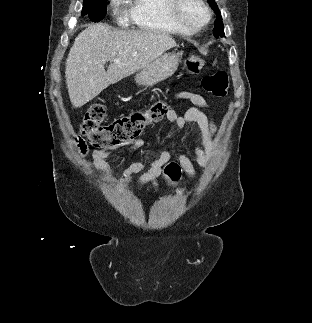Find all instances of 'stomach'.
<instances>
[{
  "label": "stomach",
  "instance_id": "0dacf381",
  "mask_svg": "<svg viewBox=\"0 0 312 323\" xmlns=\"http://www.w3.org/2000/svg\"><path fill=\"white\" fill-rule=\"evenodd\" d=\"M181 60L182 54L180 52L163 54L155 62H151L147 68H143L136 74V84L138 86H154V84H158L162 80H167V78L175 74Z\"/></svg>",
  "mask_w": 312,
  "mask_h": 323
}]
</instances>
